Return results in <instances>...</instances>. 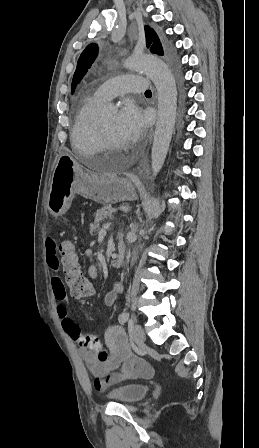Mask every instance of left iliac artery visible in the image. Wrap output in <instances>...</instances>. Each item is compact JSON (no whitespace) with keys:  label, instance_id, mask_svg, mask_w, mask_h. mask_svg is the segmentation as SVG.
Wrapping results in <instances>:
<instances>
[{"label":"left iliac artery","instance_id":"44dca946","mask_svg":"<svg viewBox=\"0 0 259 448\" xmlns=\"http://www.w3.org/2000/svg\"><path fill=\"white\" fill-rule=\"evenodd\" d=\"M128 320H129V324L132 325L133 321H132V319H129V313L128 312L122 313L121 316H120V322L124 323V322H126Z\"/></svg>","mask_w":259,"mask_h":448}]
</instances>
